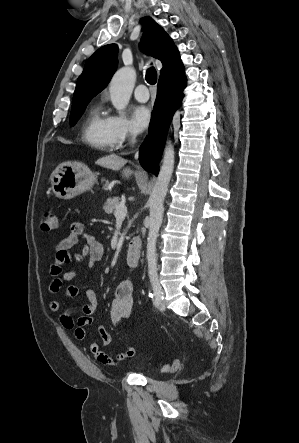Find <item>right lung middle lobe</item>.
Returning a JSON list of instances; mask_svg holds the SVG:
<instances>
[{"instance_id":"dd1d6c3e","label":"right lung middle lobe","mask_w":299,"mask_h":443,"mask_svg":"<svg viewBox=\"0 0 299 443\" xmlns=\"http://www.w3.org/2000/svg\"><path fill=\"white\" fill-rule=\"evenodd\" d=\"M88 103L89 102H85V103H82V104L72 107L71 117H70L71 126L75 125V123L80 118L81 114L83 113V111Z\"/></svg>"}]
</instances>
